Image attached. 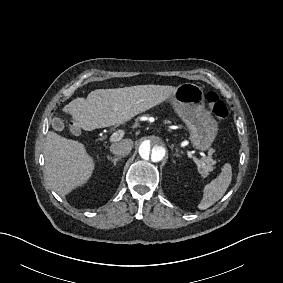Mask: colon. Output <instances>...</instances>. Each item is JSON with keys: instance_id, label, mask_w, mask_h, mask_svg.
<instances>
[{"instance_id": "colon-1", "label": "colon", "mask_w": 283, "mask_h": 283, "mask_svg": "<svg viewBox=\"0 0 283 283\" xmlns=\"http://www.w3.org/2000/svg\"><path fill=\"white\" fill-rule=\"evenodd\" d=\"M207 102H208L209 112L214 119H217L219 121H224L227 118L229 114L228 108L226 104L218 96V94L214 92H210L207 95ZM68 130L71 135L76 136L80 134V129L73 125H70L68 127Z\"/></svg>"}]
</instances>
